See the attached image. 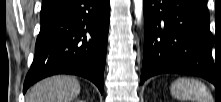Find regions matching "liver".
I'll return each instance as SVG.
<instances>
[{
  "instance_id": "1",
  "label": "liver",
  "mask_w": 221,
  "mask_h": 102,
  "mask_svg": "<svg viewBox=\"0 0 221 102\" xmlns=\"http://www.w3.org/2000/svg\"><path fill=\"white\" fill-rule=\"evenodd\" d=\"M80 93V84L73 76L59 75L37 83L26 96V102H71Z\"/></svg>"
}]
</instances>
